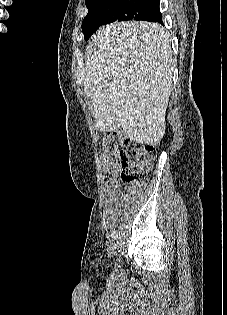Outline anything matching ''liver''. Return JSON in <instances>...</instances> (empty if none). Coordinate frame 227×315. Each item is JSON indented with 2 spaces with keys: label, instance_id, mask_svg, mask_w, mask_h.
Returning <instances> with one entry per match:
<instances>
[{
  "label": "liver",
  "instance_id": "obj_1",
  "mask_svg": "<svg viewBox=\"0 0 227 315\" xmlns=\"http://www.w3.org/2000/svg\"><path fill=\"white\" fill-rule=\"evenodd\" d=\"M157 23L101 27L86 47L84 94L101 132L121 127L130 140L156 146L165 134L174 59Z\"/></svg>",
  "mask_w": 227,
  "mask_h": 315
}]
</instances>
